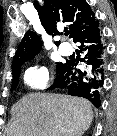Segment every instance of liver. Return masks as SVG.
<instances>
[{
	"instance_id": "6515ba94",
	"label": "liver",
	"mask_w": 117,
	"mask_h": 136,
	"mask_svg": "<svg viewBox=\"0 0 117 136\" xmlns=\"http://www.w3.org/2000/svg\"><path fill=\"white\" fill-rule=\"evenodd\" d=\"M11 114L7 136H82L93 120L86 99L40 92L23 96Z\"/></svg>"
}]
</instances>
